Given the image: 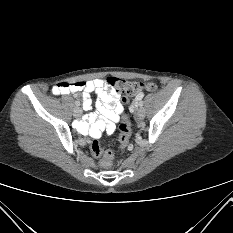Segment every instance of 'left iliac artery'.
Returning <instances> with one entry per match:
<instances>
[{
    "label": "left iliac artery",
    "instance_id": "obj_1",
    "mask_svg": "<svg viewBox=\"0 0 233 233\" xmlns=\"http://www.w3.org/2000/svg\"><path fill=\"white\" fill-rule=\"evenodd\" d=\"M142 98H143V95H138L137 96V99L140 100L139 106H141V107L143 106V101L141 100Z\"/></svg>",
    "mask_w": 233,
    "mask_h": 233
}]
</instances>
